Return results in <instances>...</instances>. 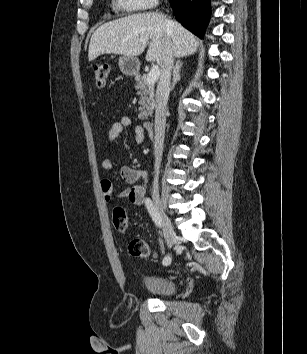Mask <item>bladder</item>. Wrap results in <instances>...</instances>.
Returning a JSON list of instances; mask_svg holds the SVG:
<instances>
[{"label": "bladder", "instance_id": "31cf9c89", "mask_svg": "<svg viewBox=\"0 0 307 354\" xmlns=\"http://www.w3.org/2000/svg\"><path fill=\"white\" fill-rule=\"evenodd\" d=\"M144 285L149 293L160 297L171 296L178 288L177 282L173 278L163 275L146 276Z\"/></svg>", "mask_w": 307, "mask_h": 354}]
</instances>
